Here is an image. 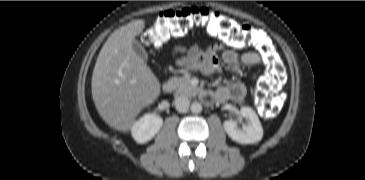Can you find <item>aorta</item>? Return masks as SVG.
Wrapping results in <instances>:
<instances>
[{
  "instance_id": "aorta-1",
  "label": "aorta",
  "mask_w": 365,
  "mask_h": 180,
  "mask_svg": "<svg viewBox=\"0 0 365 180\" xmlns=\"http://www.w3.org/2000/svg\"><path fill=\"white\" fill-rule=\"evenodd\" d=\"M190 109L192 113L198 114L202 111V105L199 102H193Z\"/></svg>"
}]
</instances>
